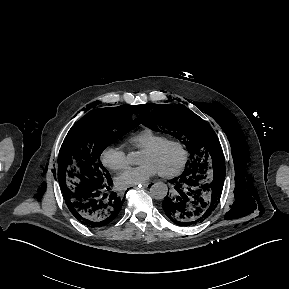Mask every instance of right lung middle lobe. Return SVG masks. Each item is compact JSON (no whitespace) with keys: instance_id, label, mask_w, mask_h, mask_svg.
Here are the masks:
<instances>
[{"instance_id":"obj_1","label":"right lung middle lobe","mask_w":289,"mask_h":289,"mask_svg":"<svg viewBox=\"0 0 289 289\" xmlns=\"http://www.w3.org/2000/svg\"><path fill=\"white\" fill-rule=\"evenodd\" d=\"M132 114L136 106L96 109L68 132L58 161V180L63 196L100 186L110 178L100 162L102 151L138 126Z\"/></svg>"}]
</instances>
